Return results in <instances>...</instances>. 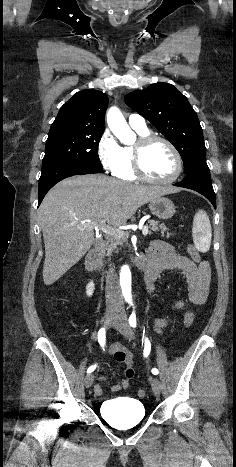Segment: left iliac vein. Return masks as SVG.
<instances>
[{
	"label": "left iliac vein",
	"mask_w": 236,
	"mask_h": 467,
	"mask_svg": "<svg viewBox=\"0 0 236 467\" xmlns=\"http://www.w3.org/2000/svg\"><path fill=\"white\" fill-rule=\"evenodd\" d=\"M115 328L126 338L133 339L134 334L128 323L125 311H122L114 321ZM151 387L156 396H159L161 391V383L158 378H151Z\"/></svg>",
	"instance_id": "4c4485c4"
}]
</instances>
